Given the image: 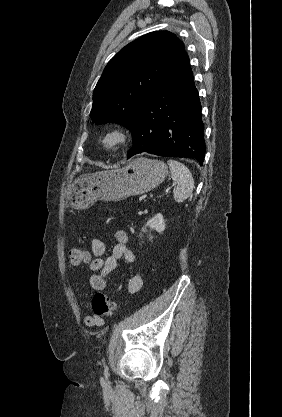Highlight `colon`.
I'll use <instances>...</instances> for the list:
<instances>
[{"label":"colon","instance_id":"1","mask_svg":"<svg viewBox=\"0 0 282 417\" xmlns=\"http://www.w3.org/2000/svg\"><path fill=\"white\" fill-rule=\"evenodd\" d=\"M70 259L75 266L83 265L89 261V255L81 248H74L70 253ZM92 309L97 316H112L115 305L105 294L96 293L92 299Z\"/></svg>","mask_w":282,"mask_h":417}]
</instances>
